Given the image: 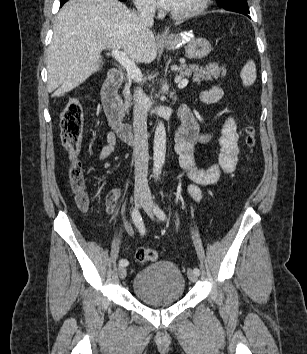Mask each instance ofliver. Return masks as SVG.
<instances>
[{
    "label": "liver",
    "instance_id": "liver-1",
    "mask_svg": "<svg viewBox=\"0 0 307 354\" xmlns=\"http://www.w3.org/2000/svg\"><path fill=\"white\" fill-rule=\"evenodd\" d=\"M105 48L122 49L137 63L157 56L154 34L118 0H69L59 11L48 49L47 90L60 97L101 67Z\"/></svg>",
    "mask_w": 307,
    "mask_h": 354
}]
</instances>
